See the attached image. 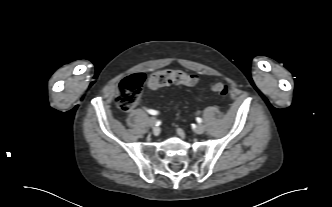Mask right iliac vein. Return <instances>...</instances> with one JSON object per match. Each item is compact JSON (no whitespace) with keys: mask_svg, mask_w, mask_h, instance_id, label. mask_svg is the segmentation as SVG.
I'll use <instances>...</instances> for the list:
<instances>
[{"mask_svg":"<svg viewBox=\"0 0 332 207\" xmlns=\"http://www.w3.org/2000/svg\"><path fill=\"white\" fill-rule=\"evenodd\" d=\"M156 118L155 117H150L149 118V125L151 126V127H155L156 126Z\"/></svg>","mask_w":332,"mask_h":207,"instance_id":"63e3f726","label":"right iliac vein"}]
</instances>
